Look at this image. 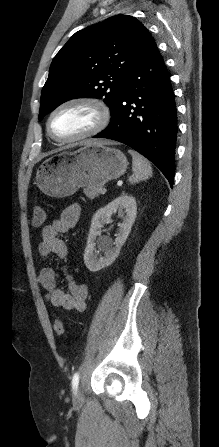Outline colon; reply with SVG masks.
I'll return each instance as SVG.
<instances>
[{
    "label": "colon",
    "instance_id": "5ec220e1",
    "mask_svg": "<svg viewBox=\"0 0 219 447\" xmlns=\"http://www.w3.org/2000/svg\"><path fill=\"white\" fill-rule=\"evenodd\" d=\"M47 221V215L41 207H36L33 212V225L36 227L43 226ZM53 329L57 335H62L65 331L64 324L60 319H55Z\"/></svg>",
    "mask_w": 219,
    "mask_h": 447
}]
</instances>
